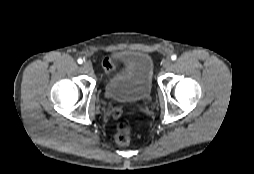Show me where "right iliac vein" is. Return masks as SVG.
Returning a JSON list of instances; mask_svg holds the SVG:
<instances>
[{"mask_svg": "<svg viewBox=\"0 0 254 174\" xmlns=\"http://www.w3.org/2000/svg\"><path fill=\"white\" fill-rule=\"evenodd\" d=\"M82 68L85 70V71H91L92 70V64L90 62H87L85 61L83 64H82Z\"/></svg>", "mask_w": 254, "mask_h": 174, "instance_id": "1", "label": "right iliac vein"}]
</instances>
